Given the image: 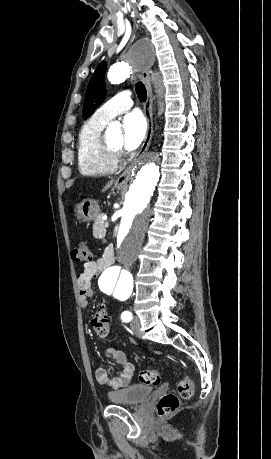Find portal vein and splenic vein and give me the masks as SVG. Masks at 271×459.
I'll return each mask as SVG.
<instances>
[{
    "mask_svg": "<svg viewBox=\"0 0 271 459\" xmlns=\"http://www.w3.org/2000/svg\"><path fill=\"white\" fill-rule=\"evenodd\" d=\"M108 224H109V221H106L104 224V228H108L109 227Z\"/></svg>",
    "mask_w": 271,
    "mask_h": 459,
    "instance_id": "18ae733b",
    "label": "portal vein and splenic vein"
}]
</instances>
